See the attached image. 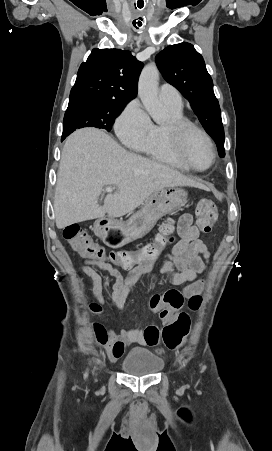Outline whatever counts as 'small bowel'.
<instances>
[{
  "instance_id": "small-bowel-1",
  "label": "small bowel",
  "mask_w": 272,
  "mask_h": 451,
  "mask_svg": "<svg viewBox=\"0 0 272 451\" xmlns=\"http://www.w3.org/2000/svg\"><path fill=\"white\" fill-rule=\"evenodd\" d=\"M163 232L170 234L173 232V228L168 225ZM175 232L179 240L171 246L167 253L157 261L143 264L134 269L128 277H124L117 268L105 260L92 258L88 268L82 264L81 271L90 277L95 297V301L89 304V310L92 313L101 314L105 307L102 276L93 266L107 272L114 280L111 306L118 310L124 305L139 276L145 271L157 267L174 284L192 282L182 293L170 290L162 296L155 294L151 297V309L160 311L161 318L166 321L172 319L176 315V311L183 306L184 296L194 295L203 289L204 282L200 276L204 273L210 259V253L205 243L199 238L200 232L198 227L193 224L191 214L185 213L180 217ZM162 239L159 237L157 241ZM169 241L173 242V238H170ZM109 333L111 344L107 346L106 353L111 362H115L122 356L127 344L146 343L145 332L138 328L121 331L110 329Z\"/></svg>"
}]
</instances>
